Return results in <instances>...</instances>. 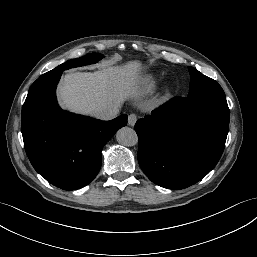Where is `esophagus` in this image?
<instances>
[{
    "mask_svg": "<svg viewBox=\"0 0 257 257\" xmlns=\"http://www.w3.org/2000/svg\"><path fill=\"white\" fill-rule=\"evenodd\" d=\"M137 121V116L135 113H131L129 116H128V125L129 126H134L135 123Z\"/></svg>",
    "mask_w": 257,
    "mask_h": 257,
    "instance_id": "esophagus-1",
    "label": "esophagus"
}]
</instances>
